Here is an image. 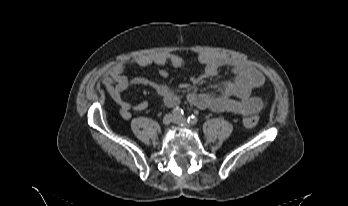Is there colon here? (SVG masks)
<instances>
[{"label": "colon", "mask_w": 348, "mask_h": 206, "mask_svg": "<svg viewBox=\"0 0 348 206\" xmlns=\"http://www.w3.org/2000/svg\"><path fill=\"white\" fill-rule=\"evenodd\" d=\"M243 123L247 128H254L258 124V118L256 115H247L243 118Z\"/></svg>", "instance_id": "1"}]
</instances>
